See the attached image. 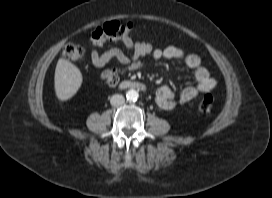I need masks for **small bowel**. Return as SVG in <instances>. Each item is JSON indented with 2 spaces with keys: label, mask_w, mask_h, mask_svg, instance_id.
Returning a JSON list of instances; mask_svg holds the SVG:
<instances>
[{
  "label": "small bowel",
  "mask_w": 272,
  "mask_h": 198,
  "mask_svg": "<svg viewBox=\"0 0 272 198\" xmlns=\"http://www.w3.org/2000/svg\"><path fill=\"white\" fill-rule=\"evenodd\" d=\"M122 44L124 50L114 47L102 53L94 50L91 54L92 64L98 70V78L108 87H116L123 74L141 69L150 59L182 61L193 71L197 82V85L187 86L178 92L167 85L159 87L155 93V103L164 110H172L178 104L190 102L199 94L209 92L216 86V80L211 77L196 54L186 53L176 46L153 48L147 42L130 37L123 38ZM112 59L117 60L120 66L103 69V66Z\"/></svg>",
  "instance_id": "obj_1"
}]
</instances>
